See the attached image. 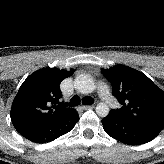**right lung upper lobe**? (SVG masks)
<instances>
[{
	"instance_id": "obj_1",
	"label": "right lung upper lobe",
	"mask_w": 164,
	"mask_h": 164,
	"mask_svg": "<svg viewBox=\"0 0 164 164\" xmlns=\"http://www.w3.org/2000/svg\"><path fill=\"white\" fill-rule=\"evenodd\" d=\"M74 70L43 68L32 73L21 85L11 107V121L20 134L53 122L75 109L61 100L60 83Z\"/></svg>"
}]
</instances>
